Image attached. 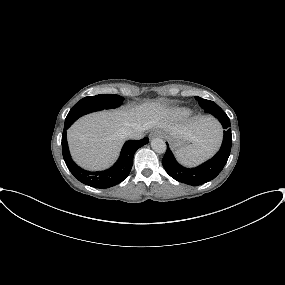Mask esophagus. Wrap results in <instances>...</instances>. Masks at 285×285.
Masks as SVG:
<instances>
[{
  "label": "esophagus",
  "mask_w": 285,
  "mask_h": 285,
  "mask_svg": "<svg viewBox=\"0 0 285 285\" xmlns=\"http://www.w3.org/2000/svg\"><path fill=\"white\" fill-rule=\"evenodd\" d=\"M160 135H161L160 132H158V131H152V132L150 133V135H149V138L152 139V138H154V137H156V136H160Z\"/></svg>",
  "instance_id": "obj_1"
}]
</instances>
